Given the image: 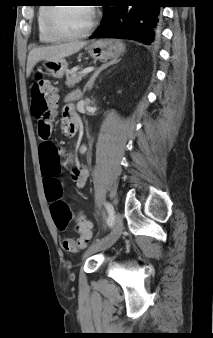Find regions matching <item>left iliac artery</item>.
I'll return each instance as SVG.
<instances>
[{"mask_svg":"<svg viewBox=\"0 0 213 338\" xmlns=\"http://www.w3.org/2000/svg\"><path fill=\"white\" fill-rule=\"evenodd\" d=\"M105 207H106V210H107V212H108V218H107V224H108V226L109 227H113V225H114V217H115V212H114V208H113V206L110 204V203H108V202H106L105 204Z\"/></svg>","mask_w":213,"mask_h":338,"instance_id":"obj_1","label":"left iliac artery"}]
</instances>
